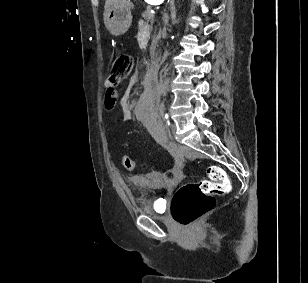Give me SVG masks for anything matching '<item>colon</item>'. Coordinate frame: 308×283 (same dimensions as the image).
<instances>
[{
  "instance_id": "obj_1",
  "label": "colon",
  "mask_w": 308,
  "mask_h": 283,
  "mask_svg": "<svg viewBox=\"0 0 308 283\" xmlns=\"http://www.w3.org/2000/svg\"><path fill=\"white\" fill-rule=\"evenodd\" d=\"M133 61L128 54H119L114 58L108 81L118 85L132 71ZM126 169L134 168L135 163L129 156L122 159ZM208 179L188 183L174 194L171 204L172 216L181 225L188 226L210 212L215 206L216 196L224 195L231 189L226 172L218 166L206 170Z\"/></svg>"
}]
</instances>
